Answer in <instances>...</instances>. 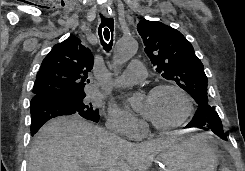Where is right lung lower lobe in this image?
<instances>
[{
  "mask_svg": "<svg viewBox=\"0 0 245 171\" xmlns=\"http://www.w3.org/2000/svg\"><path fill=\"white\" fill-rule=\"evenodd\" d=\"M30 112H31V135L32 136L41 128V126L45 122H47L51 118L62 116V115L79 114L77 111H75L68 105L60 102L55 98L32 99L30 103ZM86 119L92 120L94 122L99 121V119L98 120L90 119V118H86Z\"/></svg>",
  "mask_w": 245,
  "mask_h": 171,
  "instance_id": "right-lung-lower-lobe-1",
  "label": "right lung lower lobe"
}]
</instances>
